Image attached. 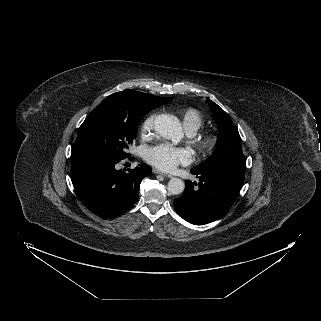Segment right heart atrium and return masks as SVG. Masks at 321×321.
Masks as SVG:
<instances>
[{"label":"right heart atrium","instance_id":"right-heart-atrium-1","mask_svg":"<svg viewBox=\"0 0 321 321\" xmlns=\"http://www.w3.org/2000/svg\"><path fill=\"white\" fill-rule=\"evenodd\" d=\"M155 114L149 115L142 123L141 126V133L142 135L146 136L151 134L153 128H154V121H155Z\"/></svg>","mask_w":321,"mask_h":321}]
</instances>
